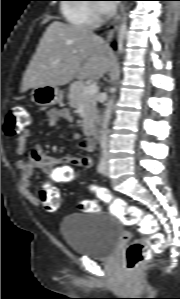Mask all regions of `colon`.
<instances>
[{
  "label": "colon",
  "instance_id": "5ec220e1",
  "mask_svg": "<svg viewBox=\"0 0 180 299\" xmlns=\"http://www.w3.org/2000/svg\"><path fill=\"white\" fill-rule=\"evenodd\" d=\"M31 121V115L26 107L14 106L7 112L4 131L13 136L25 129ZM96 195L109 204L113 214L120 218L126 226H134L142 237L135 239L128 246L124 255L128 268H134L153 253L162 252L165 248L164 236L159 232L156 218L145 213L140 207L129 205L124 199L115 197L108 190L101 187L93 188ZM40 201L48 212H55L60 206V193L55 185H44L40 189ZM79 209L86 213L99 211L100 207L93 200L80 202Z\"/></svg>",
  "mask_w": 180,
  "mask_h": 299
}]
</instances>
